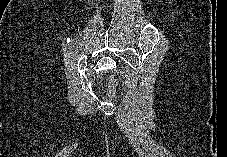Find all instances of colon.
<instances>
[{
    "mask_svg": "<svg viewBox=\"0 0 227 157\" xmlns=\"http://www.w3.org/2000/svg\"><path fill=\"white\" fill-rule=\"evenodd\" d=\"M118 85V80L116 78V76L114 75H111L110 78H109V81H108V89L109 91H114L116 89Z\"/></svg>",
    "mask_w": 227,
    "mask_h": 157,
    "instance_id": "obj_1",
    "label": "colon"
}]
</instances>
